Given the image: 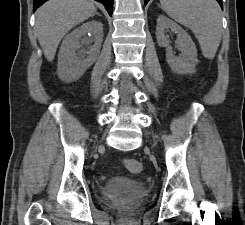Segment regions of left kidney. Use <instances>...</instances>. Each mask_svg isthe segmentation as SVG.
<instances>
[{"mask_svg":"<svg viewBox=\"0 0 245 225\" xmlns=\"http://www.w3.org/2000/svg\"><path fill=\"white\" fill-rule=\"evenodd\" d=\"M165 29H171L177 34V45L181 51L179 57L174 56L170 41L165 36ZM157 43L166 48V61L172 71L178 74H190L195 71L198 63L197 49L188 33L177 23L171 21L164 15L157 18L156 26Z\"/></svg>","mask_w":245,"mask_h":225,"instance_id":"1","label":"left kidney"}]
</instances>
